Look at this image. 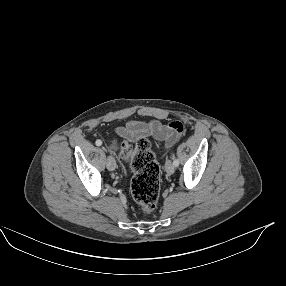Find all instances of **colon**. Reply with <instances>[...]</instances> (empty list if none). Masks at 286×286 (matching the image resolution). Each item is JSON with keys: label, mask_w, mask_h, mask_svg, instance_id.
<instances>
[{"label": "colon", "mask_w": 286, "mask_h": 286, "mask_svg": "<svg viewBox=\"0 0 286 286\" xmlns=\"http://www.w3.org/2000/svg\"><path fill=\"white\" fill-rule=\"evenodd\" d=\"M181 129L184 127L180 124ZM138 153L130 155L129 149L123 144L113 143L111 149L117 151L122 158H130L134 176L130 190L133 199L140 205L144 214L152 213L158 203L160 191V171L153 155L148 150V142L140 139Z\"/></svg>", "instance_id": "5ec220e1"}]
</instances>
